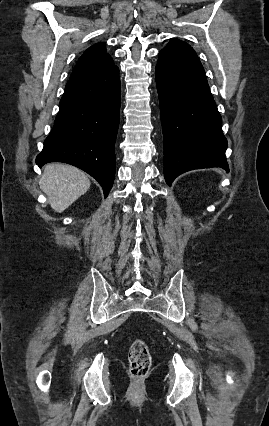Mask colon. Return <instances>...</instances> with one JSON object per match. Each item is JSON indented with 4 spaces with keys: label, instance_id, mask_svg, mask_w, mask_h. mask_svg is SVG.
Here are the masks:
<instances>
[{
    "label": "colon",
    "instance_id": "colon-1",
    "mask_svg": "<svg viewBox=\"0 0 269 426\" xmlns=\"http://www.w3.org/2000/svg\"><path fill=\"white\" fill-rule=\"evenodd\" d=\"M130 373L135 380L147 375L151 366V353L147 343L136 339L129 351Z\"/></svg>",
    "mask_w": 269,
    "mask_h": 426
}]
</instances>
